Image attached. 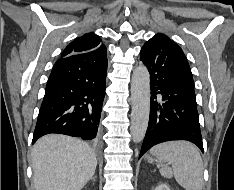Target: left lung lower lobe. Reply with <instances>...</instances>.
I'll use <instances>...</instances> for the list:
<instances>
[{
    "label": "left lung lower lobe",
    "instance_id": "obj_1",
    "mask_svg": "<svg viewBox=\"0 0 234 190\" xmlns=\"http://www.w3.org/2000/svg\"><path fill=\"white\" fill-rule=\"evenodd\" d=\"M150 73V117L139 158L152 146L172 140H187L203 152L196 96L176 78L178 54L170 39L144 45L140 52Z\"/></svg>",
    "mask_w": 234,
    "mask_h": 190
}]
</instances>
